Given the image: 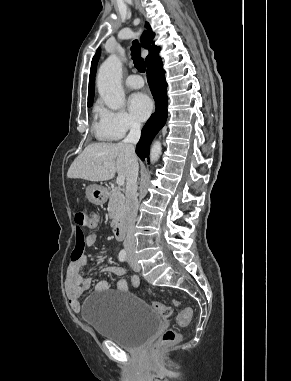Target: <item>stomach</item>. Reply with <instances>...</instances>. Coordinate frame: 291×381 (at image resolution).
<instances>
[{
	"label": "stomach",
	"instance_id": "stomach-1",
	"mask_svg": "<svg viewBox=\"0 0 291 381\" xmlns=\"http://www.w3.org/2000/svg\"><path fill=\"white\" fill-rule=\"evenodd\" d=\"M86 197L91 203L96 205L104 204L107 199L105 190L96 184H91L86 188Z\"/></svg>",
	"mask_w": 291,
	"mask_h": 381
}]
</instances>
